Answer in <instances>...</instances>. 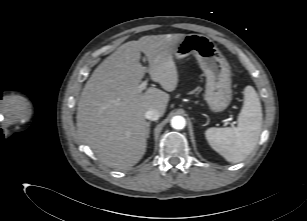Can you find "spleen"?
I'll return each mask as SVG.
<instances>
[{
    "instance_id": "1",
    "label": "spleen",
    "mask_w": 307,
    "mask_h": 221,
    "mask_svg": "<svg viewBox=\"0 0 307 221\" xmlns=\"http://www.w3.org/2000/svg\"><path fill=\"white\" fill-rule=\"evenodd\" d=\"M262 107L252 86L244 90V105L238 116V126L206 130L209 145L230 163H238L256 147L262 128Z\"/></svg>"
}]
</instances>
